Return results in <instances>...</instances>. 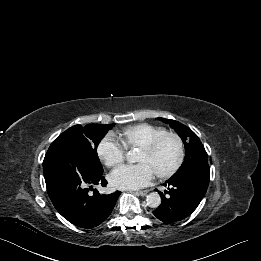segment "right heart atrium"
Listing matches in <instances>:
<instances>
[{"label":"right heart atrium","mask_w":261,"mask_h":261,"mask_svg":"<svg viewBox=\"0 0 261 261\" xmlns=\"http://www.w3.org/2000/svg\"><path fill=\"white\" fill-rule=\"evenodd\" d=\"M97 154L105 166L112 168L123 162L125 149L117 138L107 134L98 142Z\"/></svg>","instance_id":"d8ad5b80"}]
</instances>
